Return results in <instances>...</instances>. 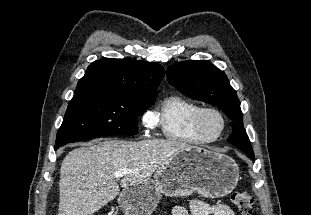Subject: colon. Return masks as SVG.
Listing matches in <instances>:
<instances>
[{
  "label": "colon",
  "instance_id": "5ec220e1",
  "mask_svg": "<svg viewBox=\"0 0 311 215\" xmlns=\"http://www.w3.org/2000/svg\"><path fill=\"white\" fill-rule=\"evenodd\" d=\"M231 201L241 215H251L253 212V196L245 191H235L231 195Z\"/></svg>",
  "mask_w": 311,
  "mask_h": 215
}]
</instances>
